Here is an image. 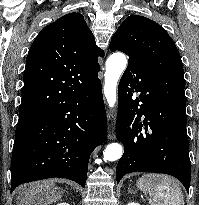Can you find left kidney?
<instances>
[{
  "mask_svg": "<svg viewBox=\"0 0 199 205\" xmlns=\"http://www.w3.org/2000/svg\"><path fill=\"white\" fill-rule=\"evenodd\" d=\"M127 205H140V204H138L136 202H129Z\"/></svg>",
  "mask_w": 199,
  "mask_h": 205,
  "instance_id": "5707ae66",
  "label": "left kidney"
}]
</instances>
